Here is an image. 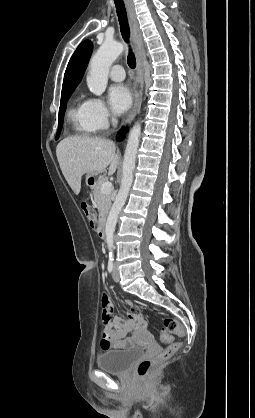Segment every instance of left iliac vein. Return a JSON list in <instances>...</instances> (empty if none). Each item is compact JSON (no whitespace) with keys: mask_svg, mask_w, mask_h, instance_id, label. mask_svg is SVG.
Here are the masks:
<instances>
[{"mask_svg":"<svg viewBox=\"0 0 255 418\" xmlns=\"http://www.w3.org/2000/svg\"><path fill=\"white\" fill-rule=\"evenodd\" d=\"M112 277H113V280H114L115 282H118V281H119V279H120L119 271H118V268H117V266H116V265L114 266V270H113Z\"/></svg>","mask_w":255,"mask_h":418,"instance_id":"left-iliac-vein-1","label":"left iliac vein"}]
</instances>
